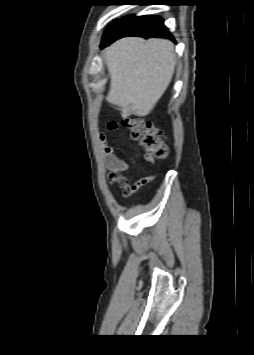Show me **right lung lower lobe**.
Returning a JSON list of instances; mask_svg holds the SVG:
<instances>
[{"label": "right lung lower lobe", "instance_id": "1", "mask_svg": "<svg viewBox=\"0 0 254 355\" xmlns=\"http://www.w3.org/2000/svg\"><path fill=\"white\" fill-rule=\"evenodd\" d=\"M126 36H139L144 38L161 37L174 41L173 36L163 23V19L156 16L125 17L115 20L106 29L101 48L106 47L115 40Z\"/></svg>", "mask_w": 254, "mask_h": 355}]
</instances>
